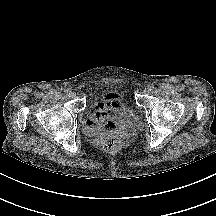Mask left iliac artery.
<instances>
[{"instance_id":"left-iliac-artery-1","label":"left iliac artery","mask_w":216,"mask_h":216,"mask_svg":"<svg viewBox=\"0 0 216 216\" xmlns=\"http://www.w3.org/2000/svg\"><path fill=\"white\" fill-rule=\"evenodd\" d=\"M150 91H153L155 89L154 85L149 86Z\"/></svg>"}]
</instances>
